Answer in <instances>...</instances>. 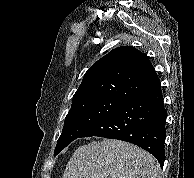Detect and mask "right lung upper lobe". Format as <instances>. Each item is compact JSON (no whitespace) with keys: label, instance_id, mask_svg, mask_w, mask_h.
Listing matches in <instances>:
<instances>
[{"label":"right lung upper lobe","instance_id":"cb5924a9","mask_svg":"<svg viewBox=\"0 0 194 178\" xmlns=\"http://www.w3.org/2000/svg\"><path fill=\"white\" fill-rule=\"evenodd\" d=\"M161 88L146 54L132 46L113 49L85 73L73 101L108 98L123 102Z\"/></svg>","mask_w":194,"mask_h":178}]
</instances>
